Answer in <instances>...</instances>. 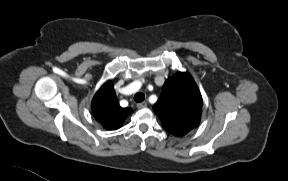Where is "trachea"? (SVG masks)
Instances as JSON below:
<instances>
[{
  "label": "trachea",
  "instance_id": "trachea-1",
  "mask_svg": "<svg viewBox=\"0 0 288 181\" xmlns=\"http://www.w3.org/2000/svg\"><path fill=\"white\" fill-rule=\"evenodd\" d=\"M144 99H145V95H144V93H142V92H138V93H136L135 96H134V100H135L136 102H142Z\"/></svg>",
  "mask_w": 288,
  "mask_h": 181
}]
</instances>
